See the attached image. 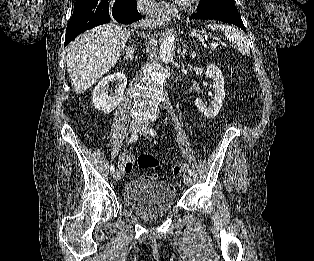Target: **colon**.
Returning <instances> with one entry per match:
<instances>
[{
	"mask_svg": "<svg viewBox=\"0 0 314 261\" xmlns=\"http://www.w3.org/2000/svg\"><path fill=\"white\" fill-rule=\"evenodd\" d=\"M137 164L140 168L144 170L158 171L160 169L159 161L155 157L151 155H147V154L139 155L137 157ZM186 168H187V163H177L173 168V173L175 175H180L181 173L185 171ZM154 177H155V174H152L151 176H149V178H154Z\"/></svg>",
	"mask_w": 314,
	"mask_h": 261,
	"instance_id": "1",
	"label": "colon"
}]
</instances>
